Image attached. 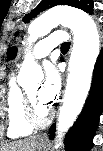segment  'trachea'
Wrapping results in <instances>:
<instances>
[{
  "label": "trachea",
  "instance_id": "obj_1",
  "mask_svg": "<svg viewBox=\"0 0 103 151\" xmlns=\"http://www.w3.org/2000/svg\"><path fill=\"white\" fill-rule=\"evenodd\" d=\"M70 47V43L66 42L61 45V50H67Z\"/></svg>",
  "mask_w": 103,
  "mask_h": 151
}]
</instances>
